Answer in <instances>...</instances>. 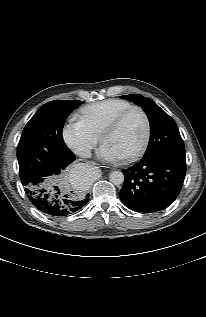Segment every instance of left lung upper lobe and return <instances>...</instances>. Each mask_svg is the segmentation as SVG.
<instances>
[{"mask_svg":"<svg viewBox=\"0 0 206 317\" xmlns=\"http://www.w3.org/2000/svg\"><path fill=\"white\" fill-rule=\"evenodd\" d=\"M121 98L140 105L150 121L151 135L144 157L172 155L185 158L184 142L175 121L168 114L140 94L124 95Z\"/></svg>","mask_w":206,"mask_h":317,"instance_id":"left-lung-upper-lobe-1","label":"left lung upper lobe"}]
</instances>
